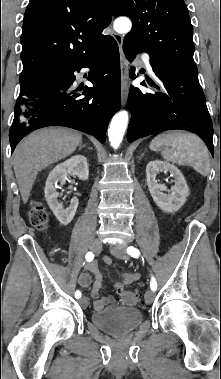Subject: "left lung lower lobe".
<instances>
[{"instance_id":"0a47b994","label":"left lung lower lobe","mask_w":221,"mask_h":379,"mask_svg":"<svg viewBox=\"0 0 221 379\" xmlns=\"http://www.w3.org/2000/svg\"><path fill=\"white\" fill-rule=\"evenodd\" d=\"M123 51L130 61L139 52H145L130 39H124ZM150 64L161 81L159 86L150 85L160 91L150 94L135 87L130 89L128 105L132 117L127 132L128 141L161 131L182 129L200 136L213 155L212 121L197 72L173 67L151 55ZM131 77L135 78V74ZM141 84L145 85V82Z\"/></svg>"}]
</instances>
